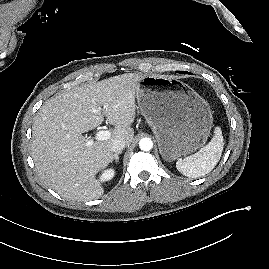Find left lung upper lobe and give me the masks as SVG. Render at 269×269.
Listing matches in <instances>:
<instances>
[{
  "mask_svg": "<svg viewBox=\"0 0 269 269\" xmlns=\"http://www.w3.org/2000/svg\"><path fill=\"white\" fill-rule=\"evenodd\" d=\"M178 73H189V72H185V71H177Z\"/></svg>",
  "mask_w": 269,
  "mask_h": 269,
  "instance_id": "obj_1",
  "label": "left lung upper lobe"
}]
</instances>
